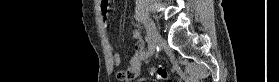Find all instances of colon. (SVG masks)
I'll list each match as a JSON object with an SVG mask.
<instances>
[{
    "label": "colon",
    "instance_id": "obj_1",
    "mask_svg": "<svg viewBox=\"0 0 279 82\" xmlns=\"http://www.w3.org/2000/svg\"><path fill=\"white\" fill-rule=\"evenodd\" d=\"M152 71H154L163 80L169 79L168 72L162 67H153Z\"/></svg>",
    "mask_w": 279,
    "mask_h": 82
}]
</instances>
